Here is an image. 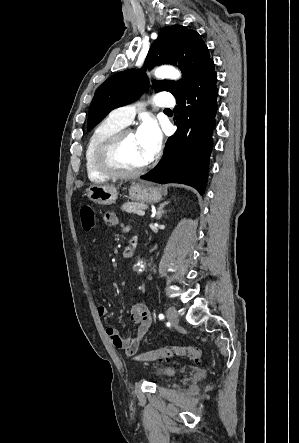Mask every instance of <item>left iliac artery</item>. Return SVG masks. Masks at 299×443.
Segmentation results:
<instances>
[{
  "label": "left iliac artery",
  "instance_id": "44dca946",
  "mask_svg": "<svg viewBox=\"0 0 299 443\" xmlns=\"http://www.w3.org/2000/svg\"><path fill=\"white\" fill-rule=\"evenodd\" d=\"M159 319L163 320L164 319V315L163 314H159Z\"/></svg>",
  "mask_w": 299,
  "mask_h": 443
}]
</instances>
